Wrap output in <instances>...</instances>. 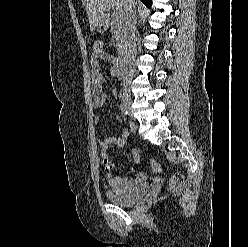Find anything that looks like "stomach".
<instances>
[{
    "label": "stomach",
    "instance_id": "1",
    "mask_svg": "<svg viewBox=\"0 0 248 247\" xmlns=\"http://www.w3.org/2000/svg\"><path fill=\"white\" fill-rule=\"evenodd\" d=\"M108 27H109V20L106 16H103L102 18H100L95 28L98 32L103 33L108 29Z\"/></svg>",
    "mask_w": 248,
    "mask_h": 247
}]
</instances>
